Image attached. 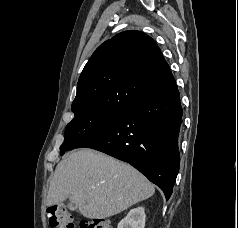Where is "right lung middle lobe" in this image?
I'll use <instances>...</instances> for the list:
<instances>
[{"mask_svg": "<svg viewBox=\"0 0 238 228\" xmlns=\"http://www.w3.org/2000/svg\"><path fill=\"white\" fill-rule=\"evenodd\" d=\"M128 107H91L74 112L73 120L68 123L65 138L60 146L61 155L77 148L113 123Z\"/></svg>", "mask_w": 238, "mask_h": 228, "instance_id": "right-lung-middle-lobe-1", "label": "right lung middle lobe"}]
</instances>
